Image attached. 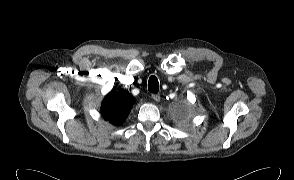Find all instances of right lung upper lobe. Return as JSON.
Returning <instances> with one entry per match:
<instances>
[{"mask_svg": "<svg viewBox=\"0 0 294 180\" xmlns=\"http://www.w3.org/2000/svg\"><path fill=\"white\" fill-rule=\"evenodd\" d=\"M134 103V97L124 90H112L104 99L101 107L103 117L113 125L122 124Z\"/></svg>", "mask_w": 294, "mask_h": 180, "instance_id": "right-lung-upper-lobe-1", "label": "right lung upper lobe"}]
</instances>
